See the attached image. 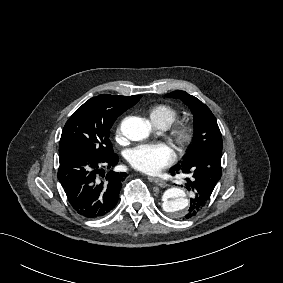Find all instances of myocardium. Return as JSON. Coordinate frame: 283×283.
Listing matches in <instances>:
<instances>
[{
  "instance_id": "f54148a6",
  "label": "myocardium",
  "mask_w": 283,
  "mask_h": 283,
  "mask_svg": "<svg viewBox=\"0 0 283 283\" xmlns=\"http://www.w3.org/2000/svg\"><path fill=\"white\" fill-rule=\"evenodd\" d=\"M170 138L179 146L180 154L183 155L193 139V127L189 123H179L172 128Z\"/></svg>"
}]
</instances>
